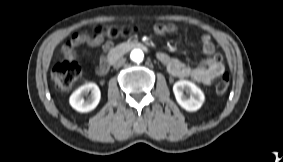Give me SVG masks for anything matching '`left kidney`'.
Wrapping results in <instances>:
<instances>
[{"label": "left kidney", "mask_w": 283, "mask_h": 162, "mask_svg": "<svg viewBox=\"0 0 283 162\" xmlns=\"http://www.w3.org/2000/svg\"><path fill=\"white\" fill-rule=\"evenodd\" d=\"M184 91L188 96L184 94ZM173 92L178 104L189 112L200 109L205 100L202 90L188 80L177 81L173 85Z\"/></svg>", "instance_id": "1"}]
</instances>
